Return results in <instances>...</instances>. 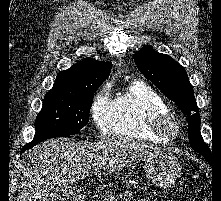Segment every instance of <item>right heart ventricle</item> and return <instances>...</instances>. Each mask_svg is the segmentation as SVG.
<instances>
[{
    "label": "right heart ventricle",
    "instance_id": "right-heart-ventricle-1",
    "mask_svg": "<svg viewBox=\"0 0 221 201\" xmlns=\"http://www.w3.org/2000/svg\"><path fill=\"white\" fill-rule=\"evenodd\" d=\"M168 111L166 102L155 90L135 82L113 100L111 131L121 137L167 143L169 139L153 134L147 124L152 115Z\"/></svg>",
    "mask_w": 221,
    "mask_h": 201
}]
</instances>
